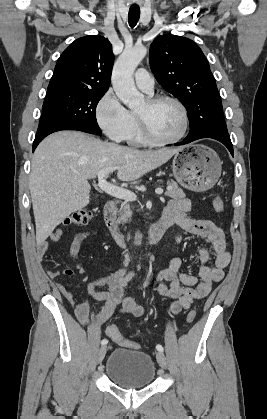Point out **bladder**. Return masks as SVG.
<instances>
[{
    "instance_id": "bladder-1",
    "label": "bladder",
    "mask_w": 267,
    "mask_h": 419,
    "mask_svg": "<svg viewBox=\"0 0 267 419\" xmlns=\"http://www.w3.org/2000/svg\"><path fill=\"white\" fill-rule=\"evenodd\" d=\"M105 374L120 387L140 388L154 381L156 367L152 357L147 353L115 348L106 361Z\"/></svg>"
}]
</instances>
